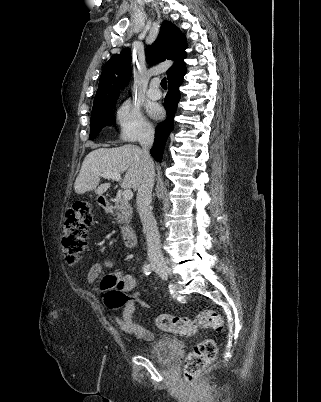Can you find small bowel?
<instances>
[{"label": "small bowel", "mask_w": 321, "mask_h": 402, "mask_svg": "<svg viewBox=\"0 0 321 402\" xmlns=\"http://www.w3.org/2000/svg\"><path fill=\"white\" fill-rule=\"evenodd\" d=\"M117 259L111 258L107 259L103 263H98L90 270L88 274V280L93 281L95 280L99 274L101 273L102 269L107 267H112L116 264ZM102 290H110L115 287L121 289L124 292H130L135 289L136 287V280L131 275H125L121 272H114L111 275L105 277L101 283ZM135 312V302L128 301L125 304L124 310L121 315L112 313V319L117 323L119 328L137 339H144V340H152L154 338V334L152 331L133 320Z\"/></svg>", "instance_id": "c3829d8e"}]
</instances>
